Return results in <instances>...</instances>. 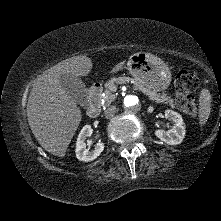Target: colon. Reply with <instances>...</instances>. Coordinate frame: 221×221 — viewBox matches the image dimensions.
<instances>
[{
  "label": "colon",
  "instance_id": "obj_1",
  "mask_svg": "<svg viewBox=\"0 0 221 221\" xmlns=\"http://www.w3.org/2000/svg\"><path fill=\"white\" fill-rule=\"evenodd\" d=\"M199 87L198 77L187 70H181L175 78L176 105L184 113L195 117L197 109L193 93Z\"/></svg>",
  "mask_w": 221,
  "mask_h": 221
}]
</instances>
